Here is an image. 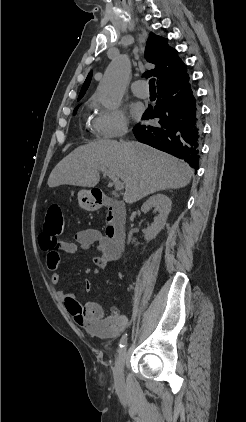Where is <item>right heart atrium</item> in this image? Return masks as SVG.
Instances as JSON below:
<instances>
[{"mask_svg": "<svg viewBox=\"0 0 246 422\" xmlns=\"http://www.w3.org/2000/svg\"><path fill=\"white\" fill-rule=\"evenodd\" d=\"M94 134L103 140H110L124 135L128 130V119L120 109L96 107L91 119Z\"/></svg>", "mask_w": 246, "mask_h": 422, "instance_id": "d8ad5b80", "label": "right heart atrium"}]
</instances>
